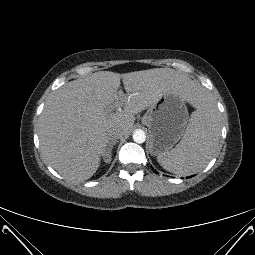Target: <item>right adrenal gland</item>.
Segmentation results:
<instances>
[{
    "label": "right adrenal gland",
    "instance_id": "obj_1",
    "mask_svg": "<svg viewBox=\"0 0 255 255\" xmlns=\"http://www.w3.org/2000/svg\"><path fill=\"white\" fill-rule=\"evenodd\" d=\"M114 145H116V143L110 144L109 147L107 148L106 152L104 153V161L106 163H109L111 161L112 149H113Z\"/></svg>",
    "mask_w": 255,
    "mask_h": 255
}]
</instances>
